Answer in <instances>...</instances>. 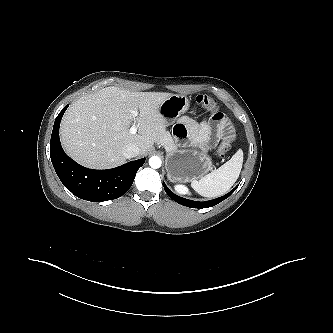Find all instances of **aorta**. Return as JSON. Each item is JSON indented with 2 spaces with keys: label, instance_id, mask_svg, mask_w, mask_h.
Listing matches in <instances>:
<instances>
[{
  "label": "aorta",
  "instance_id": "762f6f07",
  "mask_svg": "<svg viewBox=\"0 0 333 333\" xmlns=\"http://www.w3.org/2000/svg\"><path fill=\"white\" fill-rule=\"evenodd\" d=\"M161 164H162L161 159L158 156H152L149 159V165L151 168H154V169L160 168Z\"/></svg>",
  "mask_w": 333,
  "mask_h": 333
}]
</instances>
